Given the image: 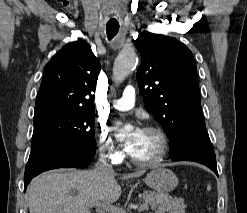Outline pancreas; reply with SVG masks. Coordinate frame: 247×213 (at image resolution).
Wrapping results in <instances>:
<instances>
[{"label":"pancreas","mask_w":247,"mask_h":213,"mask_svg":"<svg viewBox=\"0 0 247 213\" xmlns=\"http://www.w3.org/2000/svg\"><path fill=\"white\" fill-rule=\"evenodd\" d=\"M141 197L147 208L155 210L156 213H185L186 205L182 198H172L167 194L156 193L153 191H144Z\"/></svg>","instance_id":"obj_1"}]
</instances>
